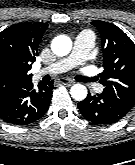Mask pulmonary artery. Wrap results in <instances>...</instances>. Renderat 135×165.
Listing matches in <instances>:
<instances>
[{"label": "pulmonary artery", "mask_w": 135, "mask_h": 165, "mask_svg": "<svg viewBox=\"0 0 135 165\" xmlns=\"http://www.w3.org/2000/svg\"><path fill=\"white\" fill-rule=\"evenodd\" d=\"M92 44H93V38L89 32L80 33L75 38L74 47L70 55L57 60L56 62L50 64L46 68H42L37 73V76L45 73H52V74L63 73L72 68L78 66H84L88 59L89 53L92 49ZM82 73L84 76H89V71L87 70V67H84ZM95 89L98 92H101L102 86L96 85Z\"/></svg>", "instance_id": "e3ab8cb5"}]
</instances>
